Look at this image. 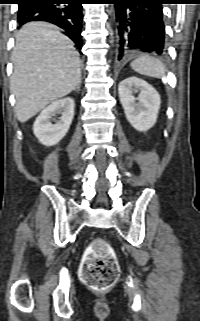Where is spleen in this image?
I'll list each match as a JSON object with an SVG mask.
<instances>
[{"label":"spleen","mask_w":200,"mask_h":321,"mask_svg":"<svg viewBox=\"0 0 200 321\" xmlns=\"http://www.w3.org/2000/svg\"><path fill=\"white\" fill-rule=\"evenodd\" d=\"M130 66L137 73L149 77L162 78L166 72L163 63L159 59L149 55H142L134 59Z\"/></svg>","instance_id":"spleen-1"}]
</instances>
